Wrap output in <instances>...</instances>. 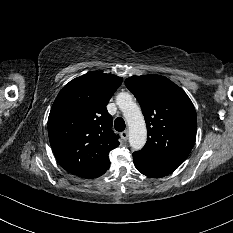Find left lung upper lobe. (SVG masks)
<instances>
[{"label":"left lung upper lobe","instance_id":"obj_1","mask_svg":"<svg viewBox=\"0 0 233 233\" xmlns=\"http://www.w3.org/2000/svg\"><path fill=\"white\" fill-rule=\"evenodd\" d=\"M126 87L138 100L147 126L141 153L181 165L196 139L197 117L187 94L160 75L133 76Z\"/></svg>","mask_w":233,"mask_h":233}]
</instances>
